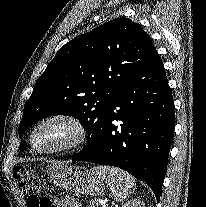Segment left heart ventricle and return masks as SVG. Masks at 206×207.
Listing matches in <instances>:
<instances>
[{
  "instance_id": "left-heart-ventricle-1",
  "label": "left heart ventricle",
  "mask_w": 206,
  "mask_h": 207,
  "mask_svg": "<svg viewBox=\"0 0 206 207\" xmlns=\"http://www.w3.org/2000/svg\"><path fill=\"white\" fill-rule=\"evenodd\" d=\"M73 136L72 128L60 121L44 124L34 136V144L37 148H55L65 144Z\"/></svg>"
}]
</instances>
